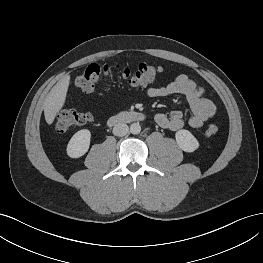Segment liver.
Masks as SVG:
<instances>
[{
	"label": "liver",
	"mask_w": 263,
	"mask_h": 263,
	"mask_svg": "<svg viewBox=\"0 0 263 263\" xmlns=\"http://www.w3.org/2000/svg\"><path fill=\"white\" fill-rule=\"evenodd\" d=\"M70 83V75H66L51 89L44 101V115L47 124L51 125L56 114L64 106Z\"/></svg>",
	"instance_id": "liver-1"
}]
</instances>
